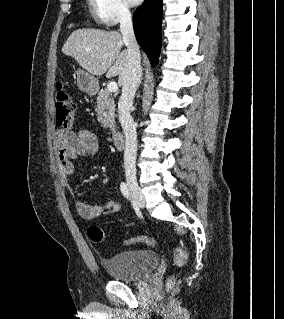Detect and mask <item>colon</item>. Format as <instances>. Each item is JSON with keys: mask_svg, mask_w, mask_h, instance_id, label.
Here are the masks:
<instances>
[{"mask_svg": "<svg viewBox=\"0 0 284 319\" xmlns=\"http://www.w3.org/2000/svg\"><path fill=\"white\" fill-rule=\"evenodd\" d=\"M55 114L56 124L64 129H70L74 125L75 121V103L71 95L65 91L63 85L58 83L57 96L55 101ZM88 237L95 243H101L105 240L106 235L102 229L97 226H90L88 228ZM125 244H145L148 246H154L156 240L152 236L143 235L136 238H131L125 241ZM187 260V252L182 247H177L174 251V261L178 266L185 264ZM173 286V278L167 281V289H171Z\"/></svg>", "mask_w": 284, "mask_h": 319, "instance_id": "colon-1", "label": "colon"}]
</instances>
